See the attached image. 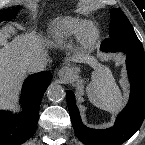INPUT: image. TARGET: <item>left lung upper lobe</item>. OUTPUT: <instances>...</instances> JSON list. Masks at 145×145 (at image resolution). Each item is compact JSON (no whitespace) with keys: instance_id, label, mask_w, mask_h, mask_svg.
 <instances>
[{"instance_id":"left-lung-upper-lobe-1","label":"left lung upper lobe","mask_w":145,"mask_h":145,"mask_svg":"<svg viewBox=\"0 0 145 145\" xmlns=\"http://www.w3.org/2000/svg\"><path fill=\"white\" fill-rule=\"evenodd\" d=\"M111 15L110 38L105 40L107 48L145 57L142 44L125 14L120 9H112Z\"/></svg>"}]
</instances>
